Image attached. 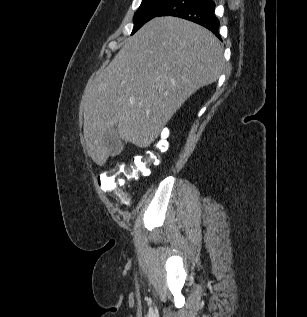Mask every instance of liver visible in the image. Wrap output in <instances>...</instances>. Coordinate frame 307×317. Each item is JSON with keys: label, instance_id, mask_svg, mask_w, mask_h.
<instances>
[{"label": "liver", "instance_id": "obj_1", "mask_svg": "<svg viewBox=\"0 0 307 317\" xmlns=\"http://www.w3.org/2000/svg\"><path fill=\"white\" fill-rule=\"evenodd\" d=\"M224 67L223 48L206 28L176 17L145 24L85 88L84 139L93 161L105 164L106 135L115 125L125 142L148 147L184 102L215 82Z\"/></svg>", "mask_w": 307, "mask_h": 317}]
</instances>
